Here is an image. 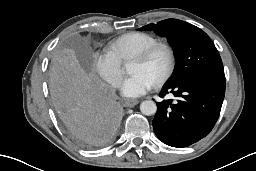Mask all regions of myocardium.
<instances>
[{"instance_id": "f54148a6", "label": "myocardium", "mask_w": 256, "mask_h": 171, "mask_svg": "<svg viewBox=\"0 0 256 171\" xmlns=\"http://www.w3.org/2000/svg\"><path fill=\"white\" fill-rule=\"evenodd\" d=\"M160 50H164L166 52L168 56V66L165 73L154 84L156 87L163 86L171 78L175 71L176 56L174 49L167 43L157 42L145 50L139 52L133 58V61L147 62Z\"/></svg>"}]
</instances>
